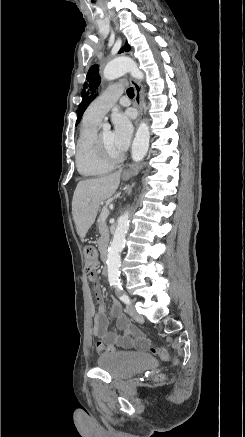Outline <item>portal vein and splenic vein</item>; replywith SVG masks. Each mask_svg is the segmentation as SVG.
I'll list each match as a JSON object with an SVG mask.
<instances>
[{
	"label": "portal vein and splenic vein",
	"instance_id": "18ae733b",
	"mask_svg": "<svg viewBox=\"0 0 245 437\" xmlns=\"http://www.w3.org/2000/svg\"><path fill=\"white\" fill-rule=\"evenodd\" d=\"M108 215H109L108 208H104L103 213H102L103 218L106 219Z\"/></svg>",
	"mask_w": 245,
	"mask_h": 437
}]
</instances>
